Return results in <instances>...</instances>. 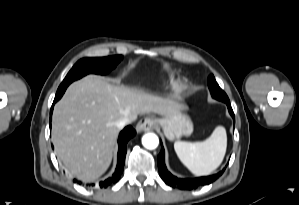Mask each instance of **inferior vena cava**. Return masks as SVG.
<instances>
[{"label":"inferior vena cava","mask_w":299,"mask_h":205,"mask_svg":"<svg viewBox=\"0 0 299 205\" xmlns=\"http://www.w3.org/2000/svg\"><path fill=\"white\" fill-rule=\"evenodd\" d=\"M128 123H130V119L128 117H124L116 122V126L121 129Z\"/></svg>","instance_id":"obj_1"}]
</instances>
